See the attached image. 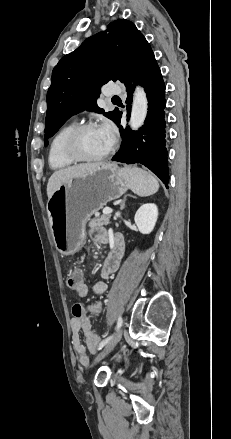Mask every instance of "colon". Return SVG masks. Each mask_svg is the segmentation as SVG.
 Returning a JSON list of instances; mask_svg holds the SVG:
<instances>
[{
    "label": "colon",
    "instance_id": "5ec220e1",
    "mask_svg": "<svg viewBox=\"0 0 231 439\" xmlns=\"http://www.w3.org/2000/svg\"><path fill=\"white\" fill-rule=\"evenodd\" d=\"M84 276H85V269L82 268L78 260H75L71 268H69L67 271V284L69 287H72L71 288L72 295H78L75 289L76 283H87L84 280Z\"/></svg>",
    "mask_w": 231,
    "mask_h": 439
}]
</instances>
